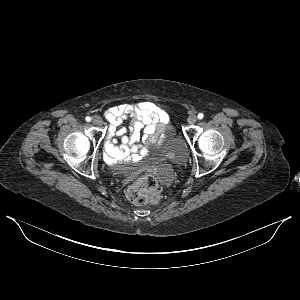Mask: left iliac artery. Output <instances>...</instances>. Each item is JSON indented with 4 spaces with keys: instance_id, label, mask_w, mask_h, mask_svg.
<instances>
[{
    "instance_id": "left-iliac-artery-1",
    "label": "left iliac artery",
    "mask_w": 300,
    "mask_h": 300,
    "mask_svg": "<svg viewBox=\"0 0 300 300\" xmlns=\"http://www.w3.org/2000/svg\"><path fill=\"white\" fill-rule=\"evenodd\" d=\"M197 117H198V119H200V120H201V119H203V117H204V114H203V113H199Z\"/></svg>"
}]
</instances>
